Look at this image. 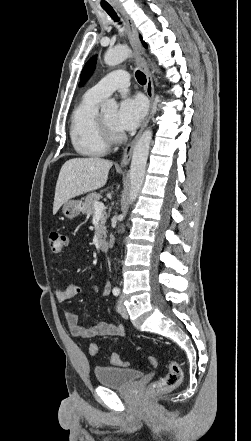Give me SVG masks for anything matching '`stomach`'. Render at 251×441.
<instances>
[{"mask_svg": "<svg viewBox=\"0 0 251 441\" xmlns=\"http://www.w3.org/2000/svg\"><path fill=\"white\" fill-rule=\"evenodd\" d=\"M83 210V203L80 200H67L63 204L62 212L66 218L72 219Z\"/></svg>", "mask_w": 251, "mask_h": 441, "instance_id": "1", "label": "stomach"}]
</instances>
